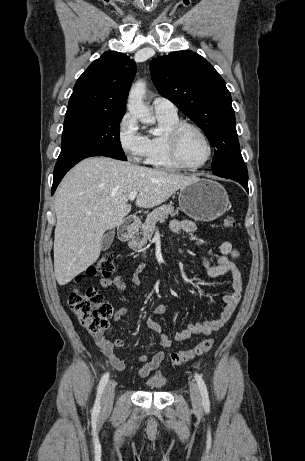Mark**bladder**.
<instances>
[{
    "instance_id": "bladder-1",
    "label": "bladder",
    "mask_w": 305,
    "mask_h": 461,
    "mask_svg": "<svg viewBox=\"0 0 305 461\" xmlns=\"http://www.w3.org/2000/svg\"><path fill=\"white\" fill-rule=\"evenodd\" d=\"M168 384L167 378L162 375H154L145 380L144 385L148 390L162 391Z\"/></svg>"
}]
</instances>
